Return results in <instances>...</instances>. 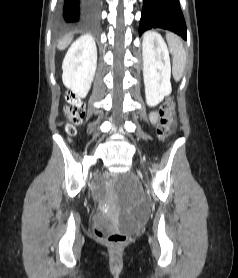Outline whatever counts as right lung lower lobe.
I'll return each instance as SVG.
<instances>
[{
  "mask_svg": "<svg viewBox=\"0 0 238 278\" xmlns=\"http://www.w3.org/2000/svg\"><path fill=\"white\" fill-rule=\"evenodd\" d=\"M99 0H64L62 26L64 28L93 25L98 18Z\"/></svg>",
  "mask_w": 238,
  "mask_h": 278,
  "instance_id": "obj_1",
  "label": "right lung lower lobe"
}]
</instances>
